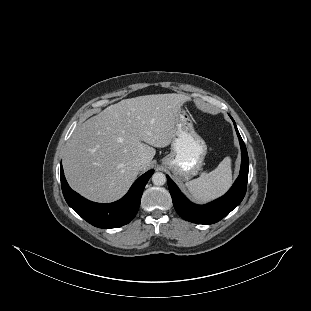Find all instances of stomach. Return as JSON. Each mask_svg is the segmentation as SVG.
<instances>
[{
    "label": "stomach",
    "instance_id": "obj_1",
    "mask_svg": "<svg viewBox=\"0 0 311 311\" xmlns=\"http://www.w3.org/2000/svg\"><path fill=\"white\" fill-rule=\"evenodd\" d=\"M177 135L171 151L160 159L162 166L169 170L181 181H189L203 168L207 152L205 141L196 133L190 115L181 110L176 123Z\"/></svg>",
    "mask_w": 311,
    "mask_h": 311
}]
</instances>
